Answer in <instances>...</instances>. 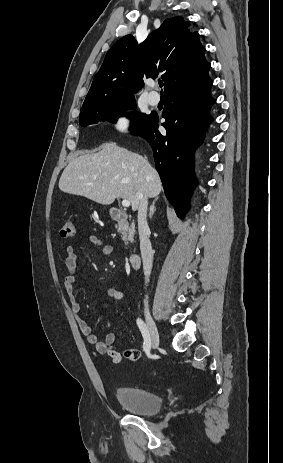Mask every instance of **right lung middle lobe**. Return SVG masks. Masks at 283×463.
<instances>
[{
	"label": "right lung middle lobe",
	"mask_w": 283,
	"mask_h": 463,
	"mask_svg": "<svg viewBox=\"0 0 283 463\" xmlns=\"http://www.w3.org/2000/svg\"><path fill=\"white\" fill-rule=\"evenodd\" d=\"M136 108L134 97L127 98H109L98 102L82 106L79 116V124L83 127L89 124H95L99 121H108L116 123L118 117L126 116L131 122V131L134 133L145 123L148 118L146 114L132 112L125 114L123 111L133 110Z\"/></svg>",
	"instance_id": "dd1d6c3e"
}]
</instances>
